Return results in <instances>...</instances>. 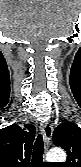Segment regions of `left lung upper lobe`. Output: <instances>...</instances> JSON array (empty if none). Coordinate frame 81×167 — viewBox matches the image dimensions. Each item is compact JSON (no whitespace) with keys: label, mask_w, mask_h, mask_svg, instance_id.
Listing matches in <instances>:
<instances>
[{"label":"left lung upper lobe","mask_w":81,"mask_h":167,"mask_svg":"<svg viewBox=\"0 0 81 167\" xmlns=\"http://www.w3.org/2000/svg\"><path fill=\"white\" fill-rule=\"evenodd\" d=\"M53 142L62 147L68 155L62 167H81V128L72 122H65L55 128Z\"/></svg>","instance_id":"5c2ea615"}]
</instances>
